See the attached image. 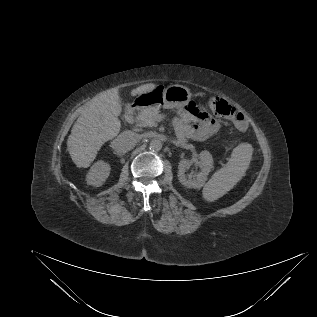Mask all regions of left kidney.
Returning a JSON list of instances; mask_svg holds the SVG:
<instances>
[{
	"mask_svg": "<svg viewBox=\"0 0 317 317\" xmlns=\"http://www.w3.org/2000/svg\"><path fill=\"white\" fill-rule=\"evenodd\" d=\"M199 159L200 161L198 162V166L200 167L201 171L196 175V177L185 174L189 164L191 163L190 160L183 159L179 162L178 180L182 185L195 189H200L205 185L207 176L213 168V158L212 155L205 150L199 154Z\"/></svg>",
	"mask_w": 317,
	"mask_h": 317,
	"instance_id": "obj_1",
	"label": "left kidney"
}]
</instances>
